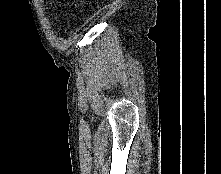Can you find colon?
I'll list each match as a JSON object with an SVG mask.
<instances>
[{
	"instance_id": "obj_1",
	"label": "colon",
	"mask_w": 221,
	"mask_h": 174,
	"mask_svg": "<svg viewBox=\"0 0 221 174\" xmlns=\"http://www.w3.org/2000/svg\"><path fill=\"white\" fill-rule=\"evenodd\" d=\"M65 3L68 8H71L73 6L79 5L81 2L76 3V2H73L72 0H65Z\"/></svg>"
}]
</instances>
